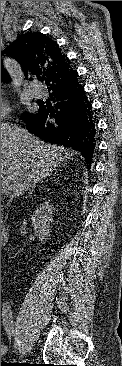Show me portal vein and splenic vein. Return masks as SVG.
<instances>
[{"mask_svg":"<svg viewBox=\"0 0 122 366\" xmlns=\"http://www.w3.org/2000/svg\"><path fill=\"white\" fill-rule=\"evenodd\" d=\"M1 193L4 195H8L9 194V188L4 187L3 189H1Z\"/></svg>","mask_w":122,"mask_h":366,"instance_id":"obj_1","label":"portal vein and splenic vein"}]
</instances>
